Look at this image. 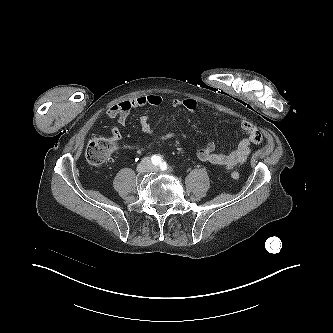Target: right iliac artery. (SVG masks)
<instances>
[{"mask_svg":"<svg viewBox=\"0 0 333 333\" xmlns=\"http://www.w3.org/2000/svg\"><path fill=\"white\" fill-rule=\"evenodd\" d=\"M151 161H152V163H153L154 165H159V164L161 163L162 159H161V157L158 156V155H153V156L151 157Z\"/></svg>","mask_w":333,"mask_h":333,"instance_id":"1","label":"right iliac artery"}]
</instances>
